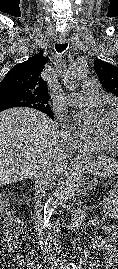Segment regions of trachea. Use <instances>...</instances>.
Returning <instances> with one entry per match:
<instances>
[{"mask_svg":"<svg viewBox=\"0 0 118 269\" xmlns=\"http://www.w3.org/2000/svg\"><path fill=\"white\" fill-rule=\"evenodd\" d=\"M67 46H68V43L56 44L55 49L57 52L61 53L67 48Z\"/></svg>","mask_w":118,"mask_h":269,"instance_id":"3493384b","label":"trachea"}]
</instances>
